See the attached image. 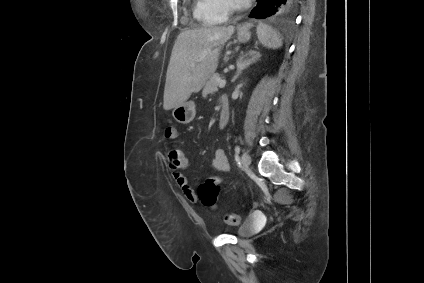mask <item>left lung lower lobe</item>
Wrapping results in <instances>:
<instances>
[{"label":"left lung lower lobe","mask_w":424,"mask_h":283,"mask_svg":"<svg viewBox=\"0 0 424 283\" xmlns=\"http://www.w3.org/2000/svg\"><path fill=\"white\" fill-rule=\"evenodd\" d=\"M299 0H259L249 17L256 19L275 18L290 14Z\"/></svg>","instance_id":"obj_1"}]
</instances>
